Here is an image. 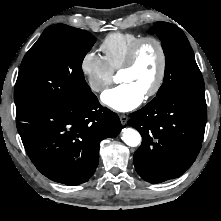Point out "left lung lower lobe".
<instances>
[{
  "mask_svg": "<svg viewBox=\"0 0 221 221\" xmlns=\"http://www.w3.org/2000/svg\"><path fill=\"white\" fill-rule=\"evenodd\" d=\"M130 117L128 124L142 136L134 165L145 181L155 184L177 178L193 164L207 120L205 96L166 92Z\"/></svg>",
  "mask_w": 221,
  "mask_h": 221,
  "instance_id": "1",
  "label": "left lung lower lobe"
}]
</instances>
